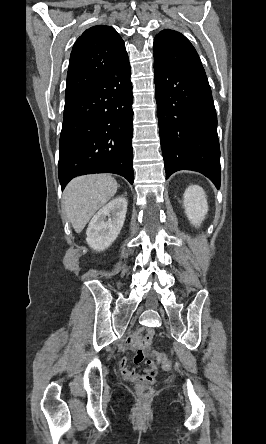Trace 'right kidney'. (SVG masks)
Masks as SVG:
<instances>
[{"mask_svg": "<svg viewBox=\"0 0 266 444\" xmlns=\"http://www.w3.org/2000/svg\"><path fill=\"white\" fill-rule=\"evenodd\" d=\"M127 212V200L117 197L102 207L90 221L86 231L88 245L97 251L107 249L118 237Z\"/></svg>", "mask_w": 266, "mask_h": 444, "instance_id": "right-kidney-1", "label": "right kidney"}]
</instances>
